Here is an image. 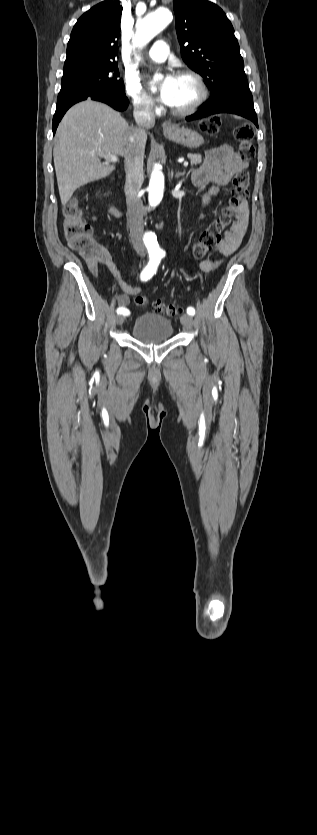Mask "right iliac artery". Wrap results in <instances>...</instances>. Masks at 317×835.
<instances>
[{
    "label": "right iliac artery",
    "mask_w": 317,
    "mask_h": 835,
    "mask_svg": "<svg viewBox=\"0 0 317 835\" xmlns=\"http://www.w3.org/2000/svg\"><path fill=\"white\" fill-rule=\"evenodd\" d=\"M159 263H160V259H159V258H157V257H150V260H149L148 264L146 265V267H145V268L142 270V272H141V275H140L141 280H142V281H147V280H149L150 278H152V276H153V275L156 273V271H157V268H158ZM117 313H118V314H122V315H124V316H127V315H129V314H130L129 310H128L127 308H123V307H119V308L117 309Z\"/></svg>",
    "instance_id": "1"
}]
</instances>
